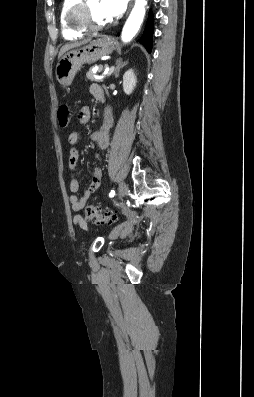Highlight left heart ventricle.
<instances>
[{"label": "left heart ventricle", "instance_id": "left-heart-ventricle-1", "mask_svg": "<svg viewBox=\"0 0 254 397\" xmlns=\"http://www.w3.org/2000/svg\"><path fill=\"white\" fill-rule=\"evenodd\" d=\"M88 9L91 20L96 24L108 22L100 7V0H88Z\"/></svg>", "mask_w": 254, "mask_h": 397}]
</instances>
